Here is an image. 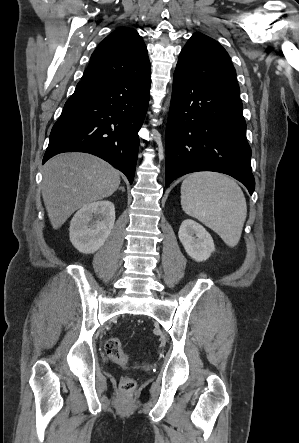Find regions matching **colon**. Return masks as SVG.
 <instances>
[{
  "label": "colon",
  "mask_w": 299,
  "mask_h": 443,
  "mask_svg": "<svg viewBox=\"0 0 299 443\" xmlns=\"http://www.w3.org/2000/svg\"><path fill=\"white\" fill-rule=\"evenodd\" d=\"M104 352L105 354L114 362L127 365L129 362L128 355L124 352L122 345L118 338L110 337L104 342ZM136 387V382L131 377H123L120 381V391L124 395H131Z\"/></svg>",
  "instance_id": "obj_1"
}]
</instances>
